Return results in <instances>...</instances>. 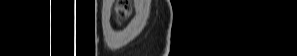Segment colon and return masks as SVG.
Listing matches in <instances>:
<instances>
[{
	"label": "colon",
	"mask_w": 297,
	"mask_h": 56,
	"mask_svg": "<svg viewBox=\"0 0 297 56\" xmlns=\"http://www.w3.org/2000/svg\"><path fill=\"white\" fill-rule=\"evenodd\" d=\"M131 10L130 2L128 1H120L115 9L117 18L119 20L125 18L129 15Z\"/></svg>",
	"instance_id": "colon-1"
}]
</instances>
